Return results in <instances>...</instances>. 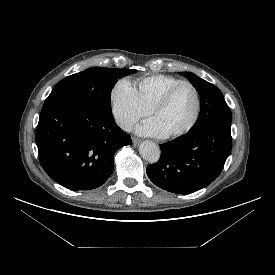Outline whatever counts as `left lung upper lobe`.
<instances>
[{
  "label": "left lung upper lobe",
  "instance_id": "5c2ea615",
  "mask_svg": "<svg viewBox=\"0 0 275 275\" xmlns=\"http://www.w3.org/2000/svg\"><path fill=\"white\" fill-rule=\"evenodd\" d=\"M189 78L201 98V110L196 123L189 131L214 125H231V111L221 91L213 84L190 72H179Z\"/></svg>",
  "mask_w": 275,
  "mask_h": 275
}]
</instances>
